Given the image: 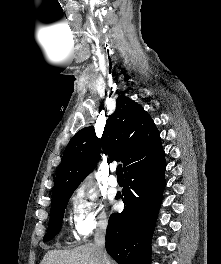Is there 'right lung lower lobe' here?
Masks as SVG:
<instances>
[{
  "instance_id": "98d812e1",
  "label": "right lung lower lobe",
  "mask_w": 221,
  "mask_h": 264,
  "mask_svg": "<svg viewBox=\"0 0 221 264\" xmlns=\"http://www.w3.org/2000/svg\"><path fill=\"white\" fill-rule=\"evenodd\" d=\"M165 153L125 172V209L109 218L106 250L118 264H151V238L166 182ZM117 196L116 198H119Z\"/></svg>"
}]
</instances>
